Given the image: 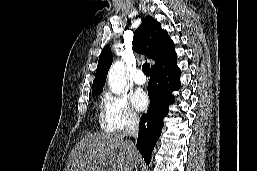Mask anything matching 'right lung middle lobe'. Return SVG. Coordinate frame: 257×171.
<instances>
[{"label":"right lung middle lobe","instance_id":"1","mask_svg":"<svg viewBox=\"0 0 257 171\" xmlns=\"http://www.w3.org/2000/svg\"><path fill=\"white\" fill-rule=\"evenodd\" d=\"M97 94H100V93H96V94H93V95H97Z\"/></svg>","mask_w":257,"mask_h":171}]
</instances>
